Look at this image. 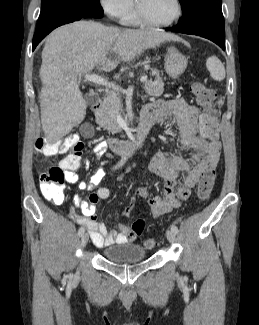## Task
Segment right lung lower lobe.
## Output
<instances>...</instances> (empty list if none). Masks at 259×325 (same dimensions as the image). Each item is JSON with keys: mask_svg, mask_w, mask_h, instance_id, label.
I'll list each match as a JSON object with an SVG mask.
<instances>
[{"mask_svg": "<svg viewBox=\"0 0 259 325\" xmlns=\"http://www.w3.org/2000/svg\"><path fill=\"white\" fill-rule=\"evenodd\" d=\"M89 17H84L76 12L66 11L54 14L47 18L43 23L36 27V32L33 37L32 51L36 48L39 42L48 35L53 29L77 21L80 19H85Z\"/></svg>", "mask_w": 259, "mask_h": 325, "instance_id": "98d812e1", "label": "right lung lower lobe"}]
</instances>
